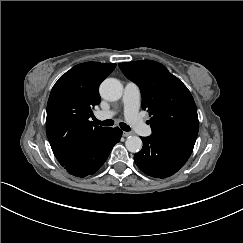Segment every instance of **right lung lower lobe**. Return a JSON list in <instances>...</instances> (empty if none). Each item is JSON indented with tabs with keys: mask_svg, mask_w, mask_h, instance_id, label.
Listing matches in <instances>:
<instances>
[{
	"mask_svg": "<svg viewBox=\"0 0 243 243\" xmlns=\"http://www.w3.org/2000/svg\"><path fill=\"white\" fill-rule=\"evenodd\" d=\"M121 136L122 131L118 127L105 129L92 140L84 151L64 165V168L76 177L94 174L104 164Z\"/></svg>",
	"mask_w": 243,
	"mask_h": 243,
	"instance_id": "1",
	"label": "right lung lower lobe"
}]
</instances>
